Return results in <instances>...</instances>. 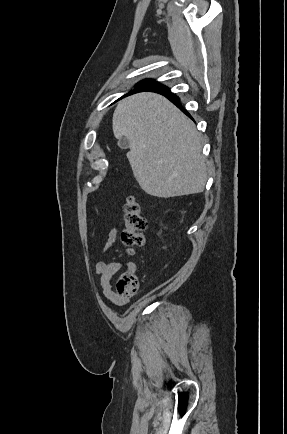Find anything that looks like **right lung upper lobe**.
<instances>
[{
    "label": "right lung upper lobe",
    "mask_w": 287,
    "mask_h": 434,
    "mask_svg": "<svg viewBox=\"0 0 287 434\" xmlns=\"http://www.w3.org/2000/svg\"><path fill=\"white\" fill-rule=\"evenodd\" d=\"M165 86L163 85H159V84H155V85H150V86H140L137 87L135 90L132 91V93L134 92H141V91H160L164 88Z\"/></svg>",
    "instance_id": "right-lung-upper-lobe-1"
}]
</instances>
